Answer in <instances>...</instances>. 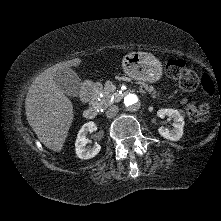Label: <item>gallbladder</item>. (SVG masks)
<instances>
[{"instance_id": "bac80fb5", "label": "gallbladder", "mask_w": 221, "mask_h": 221, "mask_svg": "<svg viewBox=\"0 0 221 221\" xmlns=\"http://www.w3.org/2000/svg\"><path fill=\"white\" fill-rule=\"evenodd\" d=\"M56 86L65 94L71 97H77L81 91V79L71 68L58 70L54 74Z\"/></svg>"}]
</instances>
